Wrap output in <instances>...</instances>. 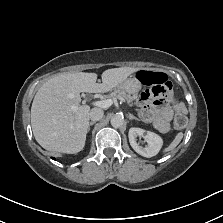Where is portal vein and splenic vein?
<instances>
[{"mask_svg": "<svg viewBox=\"0 0 223 223\" xmlns=\"http://www.w3.org/2000/svg\"><path fill=\"white\" fill-rule=\"evenodd\" d=\"M118 100L120 102L121 101L123 102L125 99L123 97L122 98L120 97ZM97 105L102 107V108L107 109V108H109V107H111L113 105V100L111 98L110 99H106V100H102V101H99L97 103ZM71 109H72V113L75 115L77 113L78 107L72 106Z\"/></svg>", "mask_w": 223, "mask_h": 223, "instance_id": "portal-vein-and-splenic-vein-1", "label": "portal vein and splenic vein"}]
</instances>
